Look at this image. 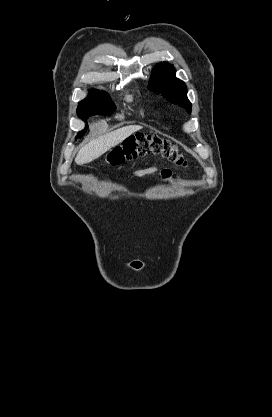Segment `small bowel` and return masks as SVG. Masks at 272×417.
<instances>
[{
  "label": "small bowel",
  "instance_id": "c3829d8e",
  "mask_svg": "<svg viewBox=\"0 0 272 417\" xmlns=\"http://www.w3.org/2000/svg\"><path fill=\"white\" fill-rule=\"evenodd\" d=\"M158 172H160V174H161V176H162V178L164 180H170L171 177H172V175H173V172L171 170H169V169L160 170L156 166H151V167H148V168L137 169V170H134L132 174L136 178H143V177H146V176H150V175L156 174Z\"/></svg>",
  "mask_w": 272,
  "mask_h": 417
}]
</instances>
